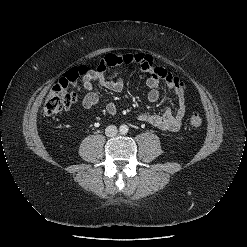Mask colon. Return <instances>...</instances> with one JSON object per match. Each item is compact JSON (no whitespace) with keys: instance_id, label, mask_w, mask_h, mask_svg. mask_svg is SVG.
Returning a JSON list of instances; mask_svg holds the SVG:
<instances>
[{"instance_id":"1","label":"colon","mask_w":247,"mask_h":247,"mask_svg":"<svg viewBox=\"0 0 247 247\" xmlns=\"http://www.w3.org/2000/svg\"><path fill=\"white\" fill-rule=\"evenodd\" d=\"M88 69L85 66L74 68L66 73L48 93L42 108L44 116H53L55 114L69 110L78 100L79 87L77 78L86 74ZM203 118L200 112L193 111L189 116V125L198 128L202 125Z\"/></svg>"}]
</instances>
